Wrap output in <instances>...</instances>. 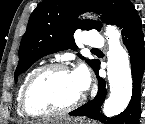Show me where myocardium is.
Here are the masks:
<instances>
[{
    "label": "myocardium",
    "mask_w": 145,
    "mask_h": 124,
    "mask_svg": "<svg viewBox=\"0 0 145 124\" xmlns=\"http://www.w3.org/2000/svg\"><path fill=\"white\" fill-rule=\"evenodd\" d=\"M53 70L71 72L70 68L66 64L59 63V62L45 64L39 67L38 69H36L26 81L24 88L22 90V94H21V109L25 116L31 117V118H43V117L64 115L78 108L85 100V94L82 93V95L76 101H74L73 103L63 108L41 110V111L33 110L29 104L30 93L34 85L37 83V81L45 73L53 71Z\"/></svg>",
    "instance_id": "myocardium-1"
}]
</instances>
